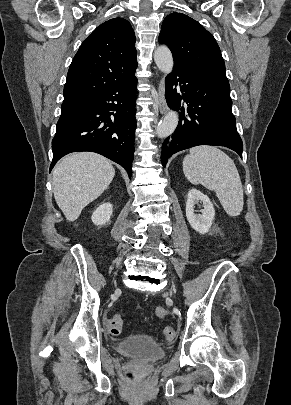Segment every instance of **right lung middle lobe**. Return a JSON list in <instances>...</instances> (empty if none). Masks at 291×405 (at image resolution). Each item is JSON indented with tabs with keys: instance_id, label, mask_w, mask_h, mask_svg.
<instances>
[{
	"instance_id": "right-lung-middle-lobe-1",
	"label": "right lung middle lobe",
	"mask_w": 291,
	"mask_h": 405,
	"mask_svg": "<svg viewBox=\"0 0 291 405\" xmlns=\"http://www.w3.org/2000/svg\"><path fill=\"white\" fill-rule=\"evenodd\" d=\"M82 103H69V104H62V111L61 116H66L67 114L74 111L77 107H79Z\"/></svg>"
}]
</instances>
